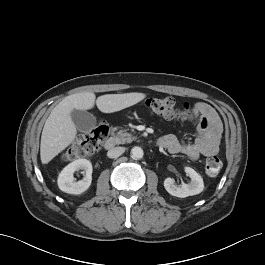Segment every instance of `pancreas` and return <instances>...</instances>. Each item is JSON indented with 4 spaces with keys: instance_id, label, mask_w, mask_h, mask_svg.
Segmentation results:
<instances>
[{
    "instance_id": "1",
    "label": "pancreas",
    "mask_w": 265,
    "mask_h": 265,
    "mask_svg": "<svg viewBox=\"0 0 265 265\" xmlns=\"http://www.w3.org/2000/svg\"><path fill=\"white\" fill-rule=\"evenodd\" d=\"M136 138L132 136V134L126 132V131H119L117 132L114 140L116 144H125V143H131Z\"/></svg>"
}]
</instances>
